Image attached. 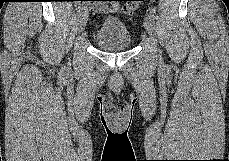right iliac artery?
Masks as SVG:
<instances>
[{
	"label": "right iliac artery",
	"mask_w": 229,
	"mask_h": 161,
	"mask_svg": "<svg viewBox=\"0 0 229 161\" xmlns=\"http://www.w3.org/2000/svg\"><path fill=\"white\" fill-rule=\"evenodd\" d=\"M80 6H81V4H78V9H80V8H81Z\"/></svg>",
	"instance_id": "obj_1"
}]
</instances>
